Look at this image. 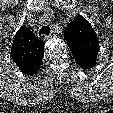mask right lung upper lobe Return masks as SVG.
Masks as SVG:
<instances>
[{"label": "right lung upper lobe", "mask_w": 113, "mask_h": 113, "mask_svg": "<svg viewBox=\"0 0 113 113\" xmlns=\"http://www.w3.org/2000/svg\"><path fill=\"white\" fill-rule=\"evenodd\" d=\"M44 56V42L22 26L15 35L11 57L19 69L28 75L38 72Z\"/></svg>", "instance_id": "cb5924a9"}]
</instances>
